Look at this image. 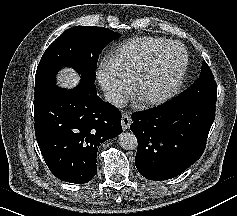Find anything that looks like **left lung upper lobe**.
I'll return each mask as SVG.
<instances>
[{
	"instance_id": "5c2ea615",
	"label": "left lung upper lobe",
	"mask_w": 237,
	"mask_h": 216,
	"mask_svg": "<svg viewBox=\"0 0 237 216\" xmlns=\"http://www.w3.org/2000/svg\"><path fill=\"white\" fill-rule=\"evenodd\" d=\"M177 97L215 109L217 85L214 81L211 70L205 61L202 62L199 78Z\"/></svg>"
}]
</instances>
